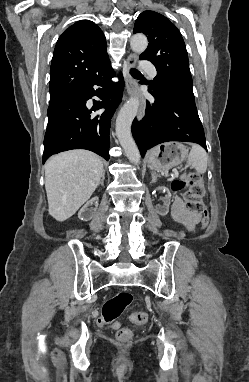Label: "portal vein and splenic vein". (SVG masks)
<instances>
[{"instance_id": "portal-vein-and-splenic-vein-1", "label": "portal vein and splenic vein", "mask_w": 249, "mask_h": 382, "mask_svg": "<svg viewBox=\"0 0 249 382\" xmlns=\"http://www.w3.org/2000/svg\"><path fill=\"white\" fill-rule=\"evenodd\" d=\"M173 172L175 176H178V170H173Z\"/></svg>"}]
</instances>
